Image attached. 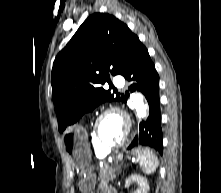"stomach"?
Wrapping results in <instances>:
<instances>
[{
	"instance_id": "obj_1",
	"label": "stomach",
	"mask_w": 221,
	"mask_h": 193,
	"mask_svg": "<svg viewBox=\"0 0 221 193\" xmlns=\"http://www.w3.org/2000/svg\"><path fill=\"white\" fill-rule=\"evenodd\" d=\"M60 138H63L65 155L75 159L74 167H81V172H92L91 154L87 150L88 137L82 125H67L66 133H60ZM96 179H101V174H84L83 182H89L87 190L91 189Z\"/></svg>"
}]
</instances>
